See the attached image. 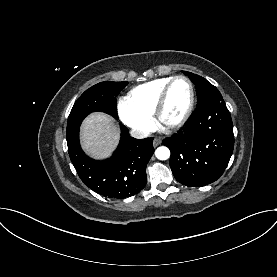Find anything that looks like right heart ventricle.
<instances>
[{"label": "right heart ventricle", "mask_w": 277, "mask_h": 277, "mask_svg": "<svg viewBox=\"0 0 277 277\" xmlns=\"http://www.w3.org/2000/svg\"><path fill=\"white\" fill-rule=\"evenodd\" d=\"M172 78H158L138 85L129 91L125 99L133 108L151 117L163 88Z\"/></svg>", "instance_id": "e07e8e85"}]
</instances>
